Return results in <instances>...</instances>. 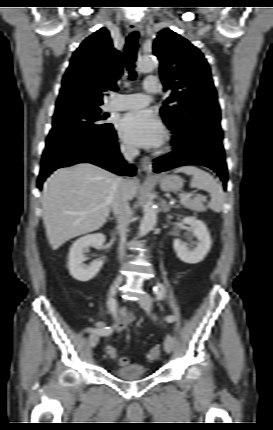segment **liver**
I'll return each instance as SVG.
<instances>
[{
  "label": "liver",
  "mask_w": 273,
  "mask_h": 430,
  "mask_svg": "<svg viewBox=\"0 0 273 430\" xmlns=\"http://www.w3.org/2000/svg\"><path fill=\"white\" fill-rule=\"evenodd\" d=\"M115 175L83 162L54 171L43 187V223L53 250L66 241L101 228L110 213L109 196ZM137 184L126 179L128 200L136 195Z\"/></svg>",
  "instance_id": "liver-1"
}]
</instances>
